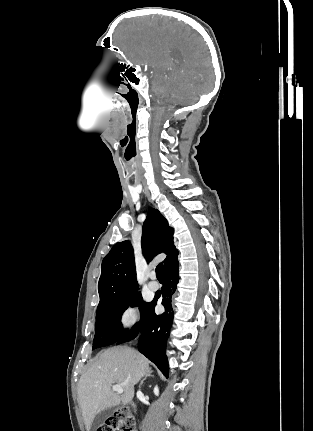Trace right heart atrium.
<instances>
[{"label":"right heart atrium","instance_id":"1","mask_svg":"<svg viewBox=\"0 0 313 431\" xmlns=\"http://www.w3.org/2000/svg\"><path fill=\"white\" fill-rule=\"evenodd\" d=\"M140 319V310L136 305L127 306L120 315V322L125 327L135 325Z\"/></svg>","mask_w":313,"mask_h":431}]
</instances>
